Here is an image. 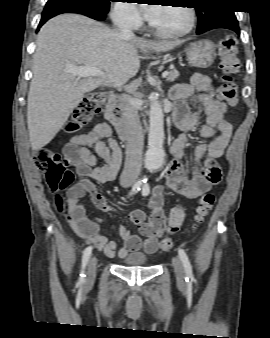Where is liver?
Segmentation results:
<instances>
[{
	"label": "liver",
	"mask_w": 270,
	"mask_h": 338,
	"mask_svg": "<svg viewBox=\"0 0 270 338\" xmlns=\"http://www.w3.org/2000/svg\"><path fill=\"white\" fill-rule=\"evenodd\" d=\"M181 43L124 37L82 15L50 19L38 33L33 56L27 105L32 150H40L56 136L85 93L133 78L140 68L138 49L167 52ZM68 66L99 68L104 76L81 79L66 72Z\"/></svg>",
	"instance_id": "6515ba94"
}]
</instances>
